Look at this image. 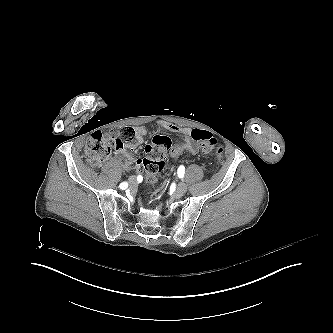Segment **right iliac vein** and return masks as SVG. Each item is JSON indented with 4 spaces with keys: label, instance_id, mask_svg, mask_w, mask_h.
Masks as SVG:
<instances>
[{
    "label": "right iliac vein",
    "instance_id": "1",
    "mask_svg": "<svg viewBox=\"0 0 333 333\" xmlns=\"http://www.w3.org/2000/svg\"><path fill=\"white\" fill-rule=\"evenodd\" d=\"M129 183H132V182H134L135 181V177H133V176H131V177H129Z\"/></svg>",
    "mask_w": 333,
    "mask_h": 333
}]
</instances>
